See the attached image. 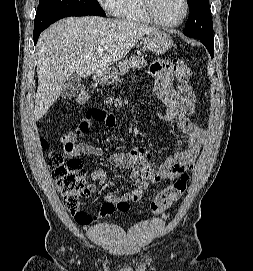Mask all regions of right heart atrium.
I'll return each instance as SVG.
<instances>
[{
	"mask_svg": "<svg viewBox=\"0 0 253 271\" xmlns=\"http://www.w3.org/2000/svg\"><path fill=\"white\" fill-rule=\"evenodd\" d=\"M101 6L109 13H114L119 0H98Z\"/></svg>",
	"mask_w": 253,
	"mask_h": 271,
	"instance_id": "1",
	"label": "right heart atrium"
}]
</instances>
